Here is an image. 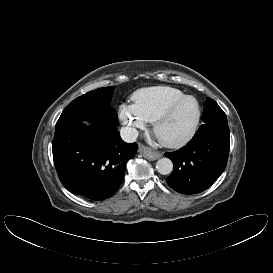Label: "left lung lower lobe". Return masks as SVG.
Wrapping results in <instances>:
<instances>
[{
    "label": "left lung lower lobe",
    "instance_id": "obj_1",
    "mask_svg": "<svg viewBox=\"0 0 273 273\" xmlns=\"http://www.w3.org/2000/svg\"><path fill=\"white\" fill-rule=\"evenodd\" d=\"M229 136L227 122L201 125L186 146L165 153L174 165L167 184L182 194H195L210 187L226 167Z\"/></svg>",
    "mask_w": 273,
    "mask_h": 273
}]
</instances>
